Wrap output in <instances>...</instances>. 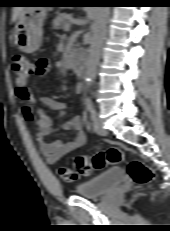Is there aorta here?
<instances>
[{
  "label": "aorta",
  "instance_id": "aorta-1",
  "mask_svg": "<svg viewBox=\"0 0 170 231\" xmlns=\"http://www.w3.org/2000/svg\"><path fill=\"white\" fill-rule=\"evenodd\" d=\"M109 11L110 7H94V23L92 27L93 33L85 72V79L88 85H90L96 77V69L101 56L104 30Z\"/></svg>",
  "mask_w": 170,
  "mask_h": 231
}]
</instances>
